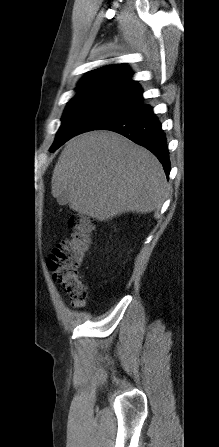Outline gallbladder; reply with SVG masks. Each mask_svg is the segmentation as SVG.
Masks as SVG:
<instances>
[{"mask_svg": "<svg viewBox=\"0 0 219 447\" xmlns=\"http://www.w3.org/2000/svg\"><path fill=\"white\" fill-rule=\"evenodd\" d=\"M58 203H59L60 205H67V204H68V200H67V199H63V198H60V199L58 200Z\"/></svg>", "mask_w": 219, "mask_h": 447, "instance_id": "1", "label": "gallbladder"}]
</instances>
